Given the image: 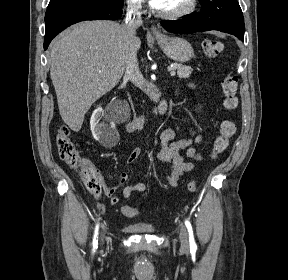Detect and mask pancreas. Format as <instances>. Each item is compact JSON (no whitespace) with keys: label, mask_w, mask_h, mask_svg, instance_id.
I'll return each instance as SVG.
<instances>
[{"label":"pancreas","mask_w":288,"mask_h":280,"mask_svg":"<svg viewBox=\"0 0 288 280\" xmlns=\"http://www.w3.org/2000/svg\"><path fill=\"white\" fill-rule=\"evenodd\" d=\"M172 68L177 70V75L180 78H189L192 73V68L180 63H173Z\"/></svg>","instance_id":"cf45deb5"}]
</instances>
